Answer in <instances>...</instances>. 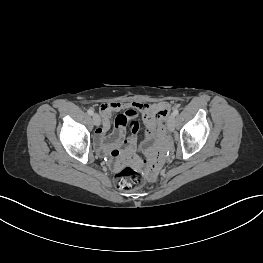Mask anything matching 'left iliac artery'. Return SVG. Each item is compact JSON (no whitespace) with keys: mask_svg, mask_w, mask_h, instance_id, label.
Segmentation results:
<instances>
[{"mask_svg":"<svg viewBox=\"0 0 263 263\" xmlns=\"http://www.w3.org/2000/svg\"><path fill=\"white\" fill-rule=\"evenodd\" d=\"M178 113H179V110H178V109H174V111H173V115L177 116Z\"/></svg>","mask_w":263,"mask_h":263,"instance_id":"obj_1","label":"left iliac artery"}]
</instances>
